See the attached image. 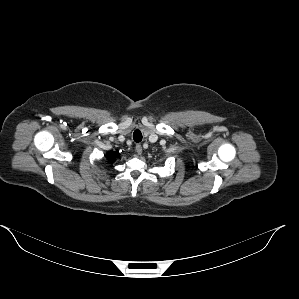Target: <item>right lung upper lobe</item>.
I'll use <instances>...</instances> for the list:
<instances>
[{
	"label": "right lung upper lobe",
	"mask_w": 299,
	"mask_h": 299,
	"mask_svg": "<svg viewBox=\"0 0 299 299\" xmlns=\"http://www.w3.org/2000/svg\"><path fill=\"white\" fill-rule=\"evenodd\" d=\"M117 157H119V153L118 152L110 151V152L107 153V159L110 162H114Z\"/></svg>",
	"instance_id": "right-lung-upper-lobe-1"
}]
</instances>
